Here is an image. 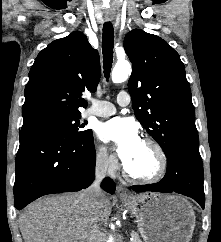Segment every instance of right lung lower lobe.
<instances>
[{
	"instance_id": "98d812e1",
	"label": "right lung lower lobe",
	"mask_w": 221,
	"mask_h": 242,
	"mask_svg": "<svg viewBox=\"0 0 221 242\" xmlns=\"http://www.w3.org/2000/svg\"><path fill=\"white\" fill-rule=\"evenodd\" d=\"M95 161L92 133L74 139L50 130L20 132L14 206L21 210L43 195L87 188L94 179ZM101 186L109 193L115 191L110 178Z\"/></svg>"
}]
</instances>
